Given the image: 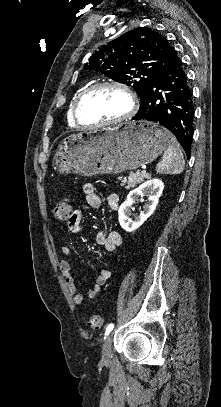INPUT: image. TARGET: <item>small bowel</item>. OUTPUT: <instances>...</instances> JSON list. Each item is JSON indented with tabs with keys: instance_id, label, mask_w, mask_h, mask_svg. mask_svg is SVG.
Segmentation results:
<instances>
[{
	"instance_id": "obj_1",
	"label": "small bowel",
	"mask_w": 221,
	"mask_h": 407,
	"mask_svg": "<svg viewBox=\"0 0 221 407\" xmlns=\"http://www.w3.org/2000/svg\"><path fill=\"white\" fill-rule=\"evenodd\" d=\"M86 202L92 208L99 209L102 206V198L98 192L96 186L92 183H85L82 187ZM119 196L116 193H111L107 196V204L111 209V212L115 214L119 207ZM81 211L75 210L69 220L66 221L65 226H62L64 230L67 228L73 234H79L81 232ZM96 242L102 246L105 250H113L122 243V237L116 230H102L96 236ZM70 250L68 246H63L62 255L59 260L58 268L64 278V282L71 294L73 301L76 304H81L85 297L89 299L95 298L103 285L111 277V270L108 266H104L100 269V272L96 278L95 285L84 295L78 291L74 277L71 275V265L68 260Z\"/></svg>"
}]
</instances>
